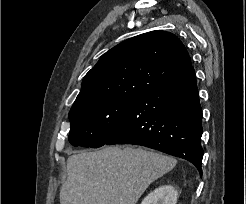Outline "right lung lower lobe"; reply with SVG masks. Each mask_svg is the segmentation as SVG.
<instances>
[{"mask_svg": "<svg viewBox=\"0 0 246 204\" xmlns=\"http://www.w3.org/2000/svg\"><path fill=\"white\" fill-rule=\"evenodd\" d=\"M202 109L193 67L140 94L106 143L142 145L190 161L202 175Z\"/></svg>", "mask_w": 246, "mask_h": 204, "instance_id": "right-lung-lower-lobe-1", "label": "right lung lower lobe"}]
</instances>
